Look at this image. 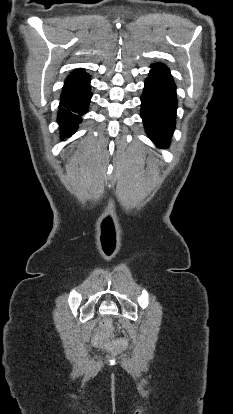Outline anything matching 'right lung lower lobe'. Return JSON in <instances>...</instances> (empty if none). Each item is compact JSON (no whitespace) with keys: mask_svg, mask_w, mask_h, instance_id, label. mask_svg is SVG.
<instances>
[{"mask_svg":"<svg viewBox=\"0 0 233 414\" xmlns=\"http://www.w3.org/2000/svg\"><path fill=\"white\" fill-rule=\"evenodd\" d=\"M90 77L84 70H75L65 80L60 96L57 122L63 139L71 136L78 128L91 99Z\"/></svg>","mask_w":233,"mask_h":414,"instance_id":"1","label":"right lung lower lobe"}]
</instances>
